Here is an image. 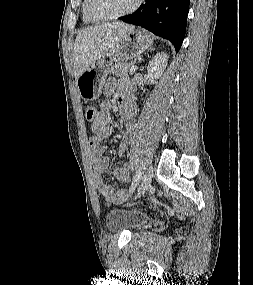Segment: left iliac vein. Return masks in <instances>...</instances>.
<instances>
[{"label":"left iliac vein","instance_id":"obj_1","mask_svg":"<svg viewBox=\"0 0 253 285\" xmlns=\"http://www.w3.org/2000/svg\"><path fill=\"white\" fill-rule=\"evenodd\" d=\"M153 178V167L150 166L144 173L141 183L138 188L137 196L140 197L141 195H144L146 190L150 187V184L152 182Z\"/></svg>","mask_w":253,"mask_h":285}]
</instances>
